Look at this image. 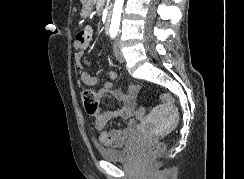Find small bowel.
Wrapping results in <instances>:
<instances>
[{
	"label": "small bowel",
	"instance_id": "c3829d8e",
	"mask_svg": "<svg viewBox=\"0 0 244 179\" xmlns=\"http://www.w3.org/2000/svg\"><path fill=\"white\" fill-rule=\"evenodd\" d=\"M89 13V12H84ZM93 37V30L90 26H86L82 31H80L74 41V47L77 52L74 54V61L79 68L83 67L82 58L85 51L89 48L90 43ZM107 77L109 78L106 81L102 88L98 90L97 97L99 99L104 98L107 94L111 93L116 99L123 102L121 108H119L113 114L99 113L95 116L94 127L97 130H100L101 133L98 137V141L106 146L110 147H119L121 146L126 138L132 133V131L137 126V119L133 116V111L135 110L136 105V93L137 85L130 84L127 94H123L120 91L114 90V80L117 78V74L114 71L107 72ZM80 79L82 83L88 86H93L97 83L98 78L95 75H91L87 72H82L80 74ZM143 110V109H139ZM143 116V115H137ZM116 117H121L127 121L126 127L122 130H111L103 131L106 125Z\"/></svg>",
	"mask_w": 244,
	"mask_h": 179
}]
</instances>
